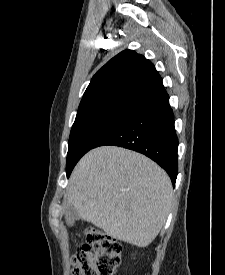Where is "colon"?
I'll return each instance as SVG.
<instances>
[{"instance_id": "5ec220e1", "label": "colon", "mask_w": 225, "mask_h": 275, "mask_svg": "<svg viewBox=\"0 0 225 275\" xmlns=\"http://www.w3.org/2000/svg\"><path fill=\"white\" fill-rule=\"evenodd\" d=\"M86 244L73 256V275H113L121 260V244L103 230L85 231Z\"/></svg>"}]
</instances>
